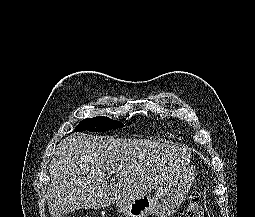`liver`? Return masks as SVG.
Masks as SVG:
<instances>
[{"mask_svg":"<svg viewBox=\"0 0 255 217\" xmlns=\"http://www.w3.org/2000/svg\"><path fill=\"white\" fill-rule=\"evenodd\" d=\"M190 155L185 146L71 134L58 144L49 166V213L63 217L143 197L187 166ZM113 174L116 184L109 183Z\"/></svg>","mask_w":255,"mask_h":217,"instance_id":"obj_1","label":"liver"}]
</instances>
